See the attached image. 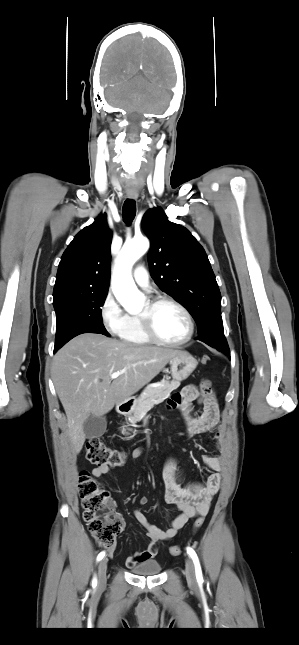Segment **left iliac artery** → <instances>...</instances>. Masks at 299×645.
Masks as SVG:
<instances>
[{"instance_id": "44dca946", "label": "left iliac artery", "mask_w": 299, "mask_h": 645, "mask_svg": "<svg viewBox=\"0 0 299 645\" xmlns=\"http://www.w3.org/2000/svg\"><path fill=\"white\" fill-rule=\"evenodd\" d=\"M187 553L190 555V557L194 562L197 580L202 581L203 577H202L201 566L196 552L191 547H187Z\"/></svg>"}]
</instances>
